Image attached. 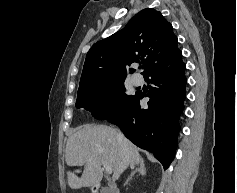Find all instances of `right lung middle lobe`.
I'll return each instance as SVG.
<instances>
[{"instance_id": "dd1d6c3e", "label": "right lung middle lobe", "mask_w": 237, "mask_h": 193, "mask_svg": "<svg viewBox=\"0 0 237 193\" xmlns=\"http://www.w3.org/2000/svg\"><path fill=\"white\" fill-rule=\"evenodd\" d=\"M125 93L124 79L94 85L77 93V108H85L94 118L105 120L118 114L131 101Z\"/></svg>"}]
</instances>
